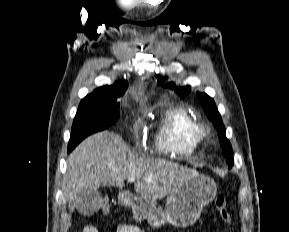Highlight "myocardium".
Wrapping results in <instances>:
<instances>
[{
  "mask_svg": "<svg viewBox=\"0 0 289 232\" xmlns=\"http://www.w3.org/2000/svg\"><path fill=\"white\" fill-rule=\"evenodd\" d=\"M208 133V129L205 125L197 123L195 128V134L199 138V140L206 138L208 136Z\"/></svg>",
  "mask_w": 289,
  "mask_h": 232,
  "instance_id": "obj_1",
  "label": "myocardium"
}]
</instances>
